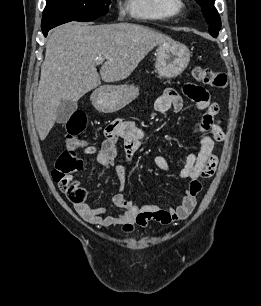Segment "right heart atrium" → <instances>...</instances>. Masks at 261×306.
<instances>
[{"mask_svg": "<svg viewBox=\"0 0 261 306\" xmlns=\"http://www.w3.org/2000/svg\"><path fill=\"white\" fill-rule=\"evenodd\" d=\"M117 7H118L119 13L121 14L123 12V7L120 1H118Z\"/></svg>", "mask_w": 261, "mask_h": 306, "instance_id": "1", "label": "right heart atrium"}]
</instances>
